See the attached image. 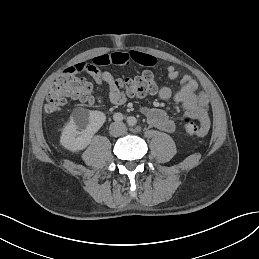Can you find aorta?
<instances>
[{
  "mask_svg": "<svg viewBox=\"0 0 259 259\" xmlns=\"http://www.w3.org/2000/svg\"><path fill=\"white\" fill-rule=\"evenodd\" d=\"M133 120H134L133 118H130V119H129L130 122L133 121Z\"/></svg>",
  "mask_w": 259,
  "mask_h": 259,
  "instance_id": "aorta-1",
  "label": "aorta"
}]
</instances>
